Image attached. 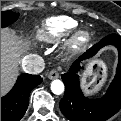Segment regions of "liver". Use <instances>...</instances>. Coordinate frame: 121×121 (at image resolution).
Masks as SVG:
<instances>
[{"label":"liver","mask_w":121,"mask_h":121,"mask_svg":"<svg viewBox=\"0 0 121 121\" xmlns=\"http://www.w3.org/2000/svg\"><path fill=\"white\" fill-rule=\"evenodd\" d=\"M28 49L11 30L1 29V96L9 91L18 75V64L22 54Z\"/></svg>","instance_id":"6515ba94"}]
</instances>
